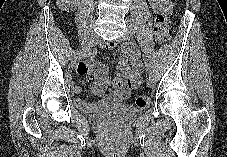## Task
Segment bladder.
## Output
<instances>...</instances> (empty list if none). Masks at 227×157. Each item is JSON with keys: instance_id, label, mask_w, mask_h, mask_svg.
<instances>
[{"instance_id": "bladder-1", "label": "bladder", "mask_w": 227, "mask_h": 157, "mask_svg": "<svg viewBox=\"0 0 227 157\" xmlns=\"http://www.w3.org/2000/svg\"><path fill=\"white\" fill-rule=\"evenodd\" d=\"M141 114V109L130 104L116 103L96 110L92 116L98 120L126 123Z\"/></svg>"}]
</instances>
